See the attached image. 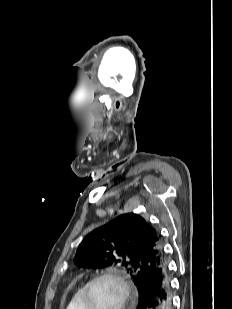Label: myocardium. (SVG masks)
Here are the masks:
<instances>
[{
  "instance_id": "myocardium-1",
  "label": "myocardium",
  "mask_w": 232,
  "mask_h": 309,
  "mask_svg": "<svg viewBox=\"0 0 232 309\" xmlns=\"http://www.w3.org/2000/svg\"><path fill=\"white\" fill-rule=\"evenodd\" d=\"M110 279L116 282L121 288V303L117 309H126L132 296V289L125 276L117 270H107L94 275L87 281L82 294V304L84 309H92L90 304V291L92 286L99 280Z\"/></svg>"
}]
</instances>
